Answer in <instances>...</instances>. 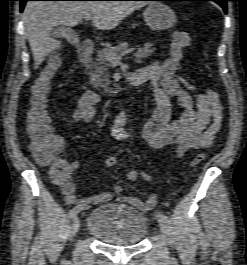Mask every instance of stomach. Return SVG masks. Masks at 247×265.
Listing matches in <instances>:
<instances>
[{
    "instance_id": "0dacf381",
    "label": "stomach",
    "mask_w": 247,
    "mask_h": 265,
    "mask_svg": "<svg viewBox=\"0 0 247 265\" xmlns=\"http://www.w3.org/2000/svg\"><path fill=\"white\" fill-rule=\"evenodd\" d=\"M143 17L148 27L154 31L169 29L177 21L174 11L161 2L150 3L145 9Z\"/></svg>"
}]
</instances>
